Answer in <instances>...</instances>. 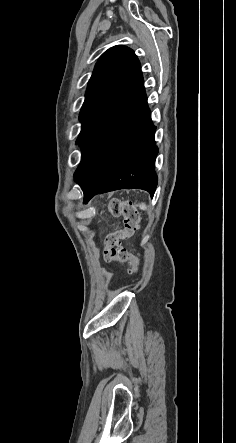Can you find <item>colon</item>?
Masks as SVG:
<instances>
[{"instance_id":"obj_1","label":"colon","mask_w":236,"mask_h":443,"mask_svg":"<svg viewBox=\"0 0 236 443\" xmlns=\"http://www.w3.org/2000/svg\"><path fill=\"white\" fill-rule=\"evenodd\" d=\"M109 212L114 217H124V228L106 237L104 258L106 261L130 263L131 271L136 272L139 266V257L121 246V242L129 239L137 229L139 221L137 207L129 200L112 199L109 202Z\"/></svg>"}]
</instances>
